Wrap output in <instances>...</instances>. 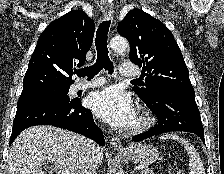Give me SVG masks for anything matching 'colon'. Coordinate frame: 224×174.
Returning <instances> with one entry per match:
<instances>
[{"label": "colon", "mask_w": 224, "mask_h": 174, "mask_svg": "<svg viewBox=\"0 0 224 174\" xmlns=\"http://www.w3.org/2000/svg\"><path fill=\"white\" fill-rule=\"evenodd\" d=\"M169 174H184L182 170L173 166L170 168Z\"/></svg>", "instance_id": "obj_1"}]
</instances>
